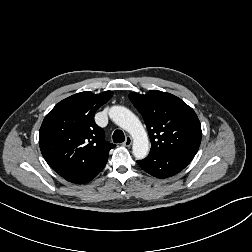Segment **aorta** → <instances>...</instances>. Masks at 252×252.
<instances>
[{
	"label": "aorta",
	"instance_id": "762f6f07",
	"mask_svg": "<svg viewBox=\"0 0 252 252\" xmlns=\"http://www.w3.org/2000/svg\"><path fill=\"white\" fill-rule=\"evenodd\" d=\"M109 116L116 125L132 136V152L135 158L139 160L144 159L149 152V141L140 120L124 106L111 107Z\"/></svg>",
	"mask_w": 252,
	"mask_h": 252
}]
</instances>
